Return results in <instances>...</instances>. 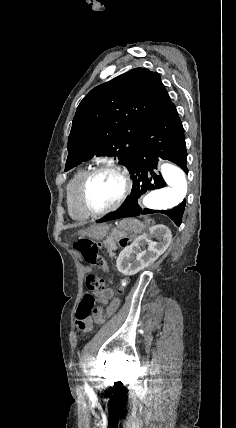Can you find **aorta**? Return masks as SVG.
<instances>
[{
	"mask_svg": "<svg viewBox=\"0 0 236 428\" xmlns=\"http://www.w3.org/2000/svg\"><path fill=\"white\" fill-rule=\"evenodd\" d=\"M161 174L167 186L151 191L143 198V205L148 209H172L179 205L186 196L187 181L181 168L164 163L161 165Z\"/></svg>",
	"mask_w": 236,
	"mask_h": 428,
	"instance_id": "1",
	"label": "aorta"
}]
</instances>
